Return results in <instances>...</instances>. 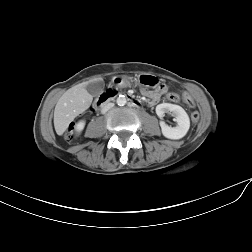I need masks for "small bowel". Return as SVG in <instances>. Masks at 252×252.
<instances>
[{"label":"small bowel","instance_id":"1","mask_svg":"<svg viewBox=\"0 0 252 252\" xmlns=\"http://www.w3.org/2000/svg\"><path fill=\"white\" fill-rule=\"evenodd\" d=\"M166 90H167L166 86H163L159 90H155V91L144 90V94L149 99V105L153 106L157 104L160 99L161 94L166 92ZM184 97H187V95H184Z\"/></svg>","mask_w":252,"mask_h":252}]
</instances>
